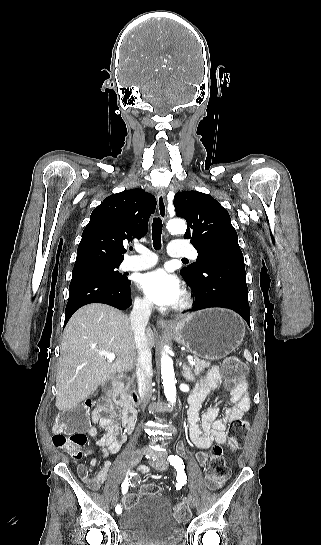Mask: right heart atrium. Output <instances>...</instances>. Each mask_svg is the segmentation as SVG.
<instances>
[{
  "label": "right heart atrium",
  "mask_w": 321,
  "mask_h": 545,
  "mask_svg": "<svg viewBox=\"0 0 321 545\" xmlns=\"http://www.w3.org/2000/svg\"><path fill=\"white\" fill-rule=\"evenodd\" d=\"M134 308L142 313L151 312V304L142 297H135L133 301Z\"/></svg>",
  "instance_id": "obj_1"
}]
</instances>
